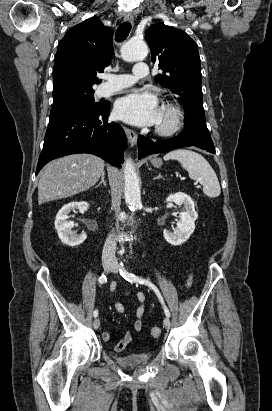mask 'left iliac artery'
<instances>
[{
    "mask_svg": "<svg viewBox=\"0 0 272 411\" xmlns=\"http://www.w3.org/2000/svg\"><path fill=\"white\" fill-rule=\"evenodd\" d=\"M122 266V268L120 269V274L122 275V277H124L127 281L129 282H135V283H139V284H145L147 286H149L151 289L154 290V292L156 293L157 297L159 298L161 304L163 305V309H164V313L167 317H170V312L168 310V308L166 307L164 300L159 292V290L157 289V287L150 281L140 278L138 276H135L132 273L127 272L124 268H123V264H120Z\"/></svg>",
    "mask_w": 272,
    "mask_h": 411,
    "instance_id": "44dca946",
    "label": "left iliac artery"
}]
</instances>
